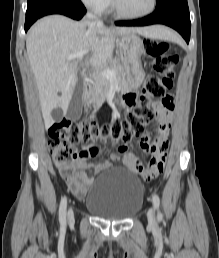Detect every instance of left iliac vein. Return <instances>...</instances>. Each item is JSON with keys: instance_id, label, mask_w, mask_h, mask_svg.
Here are the masks:
<instances>
[{"instance_id": "obj_1", "label": "left iliac vein", "mask_w": 219, "mask_h": 258, "mask_svg": "<svg viewBox=\"0 0 219 258\" xmlns=\"http://www.w3.org/2000/svg\"><path fill=\"white\" fill-rule=\"evenodd\" d=\"M147 218H148V222H149L150 224L153 225V224L155 223L152 208H150V209L148 210Z\"/></svg>"}]
</instances>
